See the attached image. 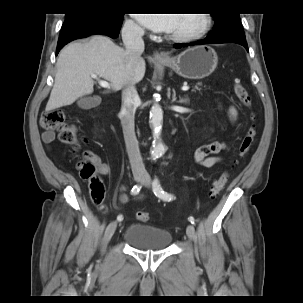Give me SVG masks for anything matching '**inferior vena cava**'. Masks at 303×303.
I'll return each mask as SVG.
<instances>
[{
  "label": "inferior vena cava",
  "mask_w": 303,
  "mask_h": 303,
  "mask_svg": "<svg viewBox=\"0 0 303 303\" xmlns=\"http://www.w3.org/2000/svg\"><path fill=\"white\" fill-rule=\"evenodd\" d=\"M128 66H134L141 59L144 51L142 36L144 30L134 22H125L122 30ZM139 96L134 83H127L122 90L121 124L131 169L134 175L145 174V166L140 154L138 141L134 131L135 111L139 104Z\"/></svg>",
  "instance_id": "602c4592"
}]
</instances>
